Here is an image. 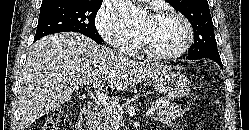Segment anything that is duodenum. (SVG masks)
<instances>
[{"label":"duodenum","instance_id":"duodenum-1","mask_svg":"<svg viewBox=\"0 0 249 130\" xmlns=\"http://www.w3.org/2000/svg\"><path fill=\"white\" fill-rule=\"evenodd\" d=\"M100 107L94 101H88L80 115L78 130H97Z\"/></svg>","mask_w":249,"mask_h":130}]
</instances>
